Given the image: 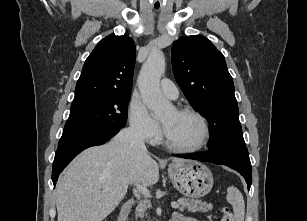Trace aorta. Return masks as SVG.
<instances>
[{"label":"aorta","mask_w":307,"mask_h":221,"mask_svg":"<svg viewBox=\"0 0 307 221\" xmlns=\"http://www.w3.org/2000/svg\"><path fill=\"white\" fill-rule=\"evenodd\" d=\"M165 71V57L161 51L152 52L143 64L137 83L143 101L155 118H162L172 108L160 90V79Z\"/></svg>","instance_id":"aorta-1"}]
</instances>
